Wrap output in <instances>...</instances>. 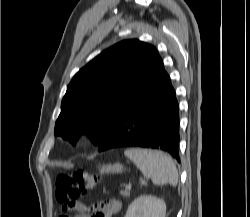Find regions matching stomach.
<instances>
[{"instance_id":"0dacf381","label":"stomach","mask_w":250,"mask_h":217,"mask_svg":"<svg viewBox=\"0 0 250 217\" xmlns=\"http://www.w3.org/2000/svg\"><path fill=\"white\" fill-rule=\"evenodd\" d=\"M124 170V167L122 164L120 163H115V164H107V165H103L100 168V172L101 173H122Z\"/></svg>"}]
</instances>
